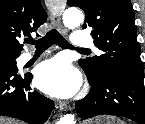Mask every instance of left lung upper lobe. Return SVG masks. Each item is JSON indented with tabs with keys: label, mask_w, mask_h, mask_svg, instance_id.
<instances>
[{
	"label": "left lung upper lobe",
	"mask_w": 145,
	"mask_h": 124,
	"mask_svg": "<svg viewBox=\"0 0 145 124\" xmlns=\"http://www.w3.org/2000/svg\"><path fill=\"white\" fill-rule=\"evenodd\" d=\"M86 13L83 29L91 28L100 56L79 60L93 80L111 71H128L143 77L130 0H67Z\"/></svg>",
	"instance_id": "obj_1"
}]
</instances>
